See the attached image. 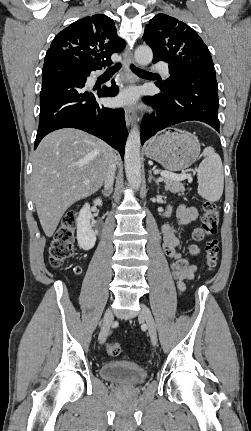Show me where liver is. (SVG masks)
Wrapping results in <instances>:
<instances>
[{
    "mask_svg": "<svg viewBox=\"0 0 251 431\" xmlns=\"http://www.w3.org/2000/svg\"><path fill=\"white\" fill-rule=\"evenodd\" d=\"M112 160L119 157L107 143L81 130L60 129L41 141L33 157L31 183L47 237L72 204L99 190Z\"/></svg>",
    "mask_w": 251,
    "mask_h": 431,
    "instance_id": "6515ba94",
    "label": "liver"
}]
</instances>
